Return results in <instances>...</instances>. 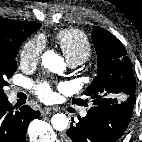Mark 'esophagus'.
Returning a JSON list of instances; mask_svg holds the SVG:
<instances>
[{
	"label": "esophagus",
	"instance_id": "34e87169",
	"mask_svg": "<svg viewBox=\"0 0 142 142\" xmlns=\"http://www.w3.org/2000/svg\"><path fill=\"white\" fill-rule=\"evenodd\" d=\"M54 111V109L51 108H44L41 110V115L45 116V115H49Z\"/></svg>",
	"mask_w": 142,
	"mask_h": 142
}]
</instances>
